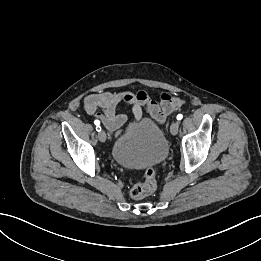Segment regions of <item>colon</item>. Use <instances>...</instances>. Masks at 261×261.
<instances>
[{"mask_svg": "<svg viewBox=\"0 0 261 261\" xmlns=\"http://www.w3.org/2000/svg\"><path fill=\"white\" fill-rule=\"evenodd\" d=\"M143 176V182L133 185L130 190V196L133 199H142L152 194L157 188L156 172L153 168H146Z\"/></svg>", "mask_w": 261, "mask_h": 261, "instance_id": "5ec220e1", "label": "colon"}]
</instances>
